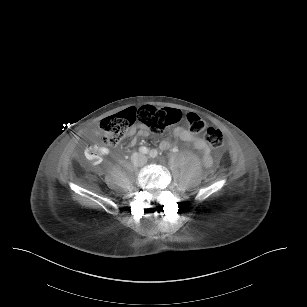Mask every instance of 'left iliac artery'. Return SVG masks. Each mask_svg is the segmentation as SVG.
Segmentation results:
<instances>
[{"label": "left iliac artery", "mask_w": 307, "mask_h": 307, "mask_svg": "<svg viewBox=\"0 0 307 307\" xmlns=\"http://www.w3.org/2000/svg\"><path fill=\"white\" fill-rule=\"evenodd\" d=\"M173 152H177V151H174V149H173ZM149 156H150L151 158H156V157L158 156L157 150H151V151L149 152Z\"/></svg>", "instance_id": "obj_1"}]
</instances>
